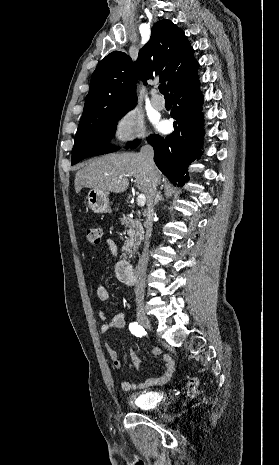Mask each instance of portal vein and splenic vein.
Masks as SVG:
<instances>
[{
  "instance_id": "portal-vein-and-splenic-vein-1",
  "label": "portal vein and splenic vein",
  "mask_w": 279,
  "mask_h": 465,
  "mask_svg": "<svg viewBox=\"0 0 279 465\" xmlns=\"http://www.w3.org/2000/svg\"><path fill=\"white\" fill-rule=\"evenodd\" d=\"M119 178L122 179L123 176H120ZM145 202H146V196L144 194L138 195V197H137V205L139 207H143L145 205Z\"/></svg>"
}]
</instances>
